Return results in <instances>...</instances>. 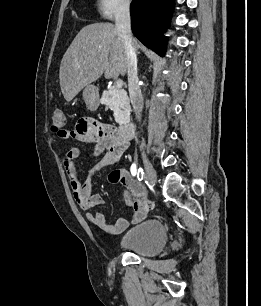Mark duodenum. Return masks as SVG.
Segmentation results:
<instances>
[{
	"instance_id": "410a0bca",
	"label": "duodenum",
	"mask_w": 261,
	"mask_h": 306,
	"mask_svg": "<svg viewBox=\"0 0 261 306\" xmlns=\"http://www.w3.org/2000/svg\"><path fill=\"white\" fill-rule=\"evenodd\" d=\"M134 132H135V124L131 119L123 121L119 126V133L125 139L133 138Z\"/></svg>"
}]
</instances>
